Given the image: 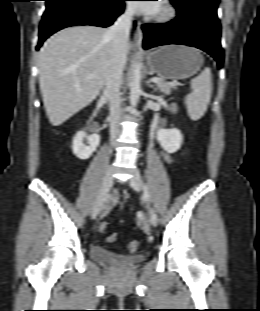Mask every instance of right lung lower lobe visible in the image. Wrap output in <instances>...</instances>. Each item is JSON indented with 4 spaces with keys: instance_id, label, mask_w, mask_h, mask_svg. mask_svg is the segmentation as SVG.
<instances>
[{
    "instance_id": "1",
    "label": "right lung lower lobe",
    "mask_w": 260,
    "mask_h": 311,
    "mask_svg": "<svg viewBox=\"0 0 260 311\" xmlns=\"http://www.w3.org/2000/svg\"><path fill=\"white\" fill-rule=\"evenodd\" d=\"M39 30V50L43 42L56 31L74 25L107 27L124 11L125 0H45Z\"/></svg>"
}]
</instances>
